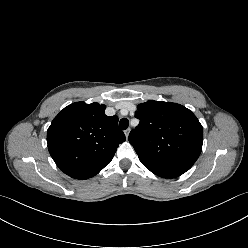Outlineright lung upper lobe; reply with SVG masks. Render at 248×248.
Masks as SVG:
<instances>
[{
  "label": "right lung upper lobe",
  "mask_w": 248,
  "mask_h": 248,
  "mask_svg": "<svg viewBox=\"0 0 248 248\" xmlns=\"http://www.w3.org/2000/svg\"><path fill=\"white\" fill-rule=\"evenodd\" d=\"M105 108L76 102L53 119L47 131L48 149L65 174L73 178L97 174L126 140L117 116H106Z\"/></svg>",
  "instance_id": "obj_1"
}]
</instances>
